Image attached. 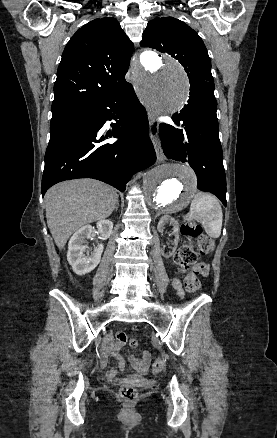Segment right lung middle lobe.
Instances as JSON below:
<instances>
[{"instance_id": "1", "label": "right lung middle lobe", "mask_w": 277, "mask_h": 438, "mask_svg": "<svg viewBox=\"0 0 277 438\" xmlns=\"http://www.w3.org/2000/svg\"><path fill=\"white\" fill-rule=\"evenodd\" d=\"M78 110H63V111H54L52 112V119L50 123V129L58 125L60 122L65 120L66 118L72 116L73 114L79 112Z\"/></svg>"}]
</instances>
